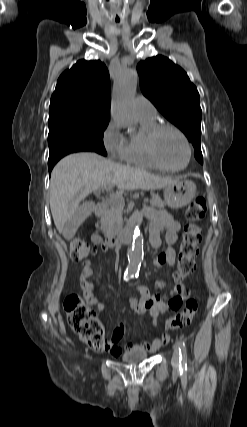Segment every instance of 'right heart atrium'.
Listing matches in <instances>:
<instances>
[{
    "mask_svg": "<svg viewBox=\"0 0 247 427\" xmlns=\"http://www.w3.org/2000/svg\"><path fill=\"white\" fill-rule=\"evenodd\" d=\"M102 143L113 158L125 160L127 139L115 121H109L103 130Z\"/></svg>",
    "mask_w": 247,
    "mask_h": 427,
    "instance_id": "obj_1",
    "label": "right heart atrium"
}]
</instances>
